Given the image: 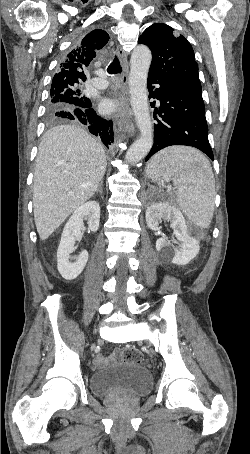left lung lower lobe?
I'll list each match as a JSON object with an SVG mask.
<instances>
[{
    "instance_id": "1",
    "label": "left lung lower lobe",
    "mask_w": 250,
    "mask_h": 454,
    "mask_svg": "<svg viewBox=\"0 0 250 454\" xmlns=\"http://www.w3.org/2000/svg\"><path fill=\"white\" fill-rule=\"evenodd\" d=\"M148 91L149 98L158 99L160 107L153 115L154 144L145 160L171 145L196 147L213 160L201 87L170 83L148 75ZM151 107H155V102Z\"/></svg>"
}]
</instances>
